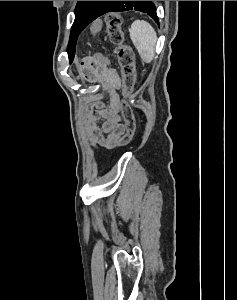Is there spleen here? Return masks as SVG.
I'll return each mask as SVG.
<instances>
[{"label":"spleen","instance_id":"3e777b00","mask_svg":"<svg viewBox=\"0 0 237 300\" xmlns=\"http://www.w3.org/2000/svg\"><path fill=\"white\" fill-rule=\"evenodd\" d=\"M130 39L136 47L142 61L151 63L154 59L157 35L146 21H134L129 29Z\"/></svg>","mask_w":237,"mask_h":300}]
</instances>
